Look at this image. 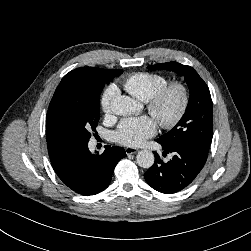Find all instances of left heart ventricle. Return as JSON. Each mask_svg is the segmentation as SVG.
<instances>
[{"label": "left heart ventricle", "mask_w": 251, "mask_h": 251, "mask_svg": "<svg viewBox=\"0 0 251 251\" xmlns=\"http://www.w3.org/2000/svg\"><path fill=\"white\" fill-rule=\"evenodd\" d=\"M179 101L180 98L177 93H172L171 95H169L162 105V115L166 118L172 116L178 108Z\"/></svg>", "instance_id": "obj_1"}]
</instances>
